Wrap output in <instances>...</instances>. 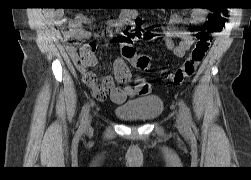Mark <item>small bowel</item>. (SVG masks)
Masks as SVG:
<instances>
[{"label":"small bowel","mask_w":251,"mask_h":180,"mask_svg":"<svg viewBox=\"0 0 251 180\" xmlns=\"http://www.w3.org/2000/svg\"><path fill=\"white\" fill-rule=\"evenodd\" d=\"M207 11L204 8H195L191 17L186 19L180 14H173L170 18L167 28L164 30L166 47L178 58H183L193 44L192 33L180 27L182 24L200 26L206 20ZM139 12L134 8H127L120 12L115 20L107 21L106 24L112 26L116 31H120L125 26L138 21ZM49 21L54 24L67 25L62 28L65 48L72 60L75 62L82 81L89 87L92 95L103 101L110 99L117 103H123L127 98L135 96H146L151 91L148 82L138 80L135 85H130L131 73L123 58H117L114 62L113 76L104 75L100 82H97L96 76L89 71L90 67L97 64L95 56L96 44L89 42L80 48L78 53L75 42L89 40L91 34L84 28L90 20L82 14H75L71 18H66L63 10H55L48 13ZM178 39V43H175Z\"/></svg>","instance_id":"small-bowel-1"}]
</instances>
